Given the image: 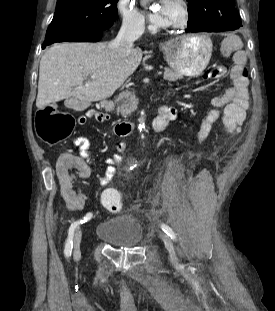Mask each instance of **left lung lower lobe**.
Here are the masks:
<instances>
[{
    "mask_svg": "<svg viewBox=\"0 0 275 311\" xmlns=\"http://www.w3.org/2000/svg\"><path fill=\"white\" fill-rule=\"evenodd\" d=\"M232 30H236V29L223 26L217 22H209L205 24L189 26L186 31L187 32H222V31H232Z\"/></svg>",
    "mask_w": 275,
    "mask_h": 311,
    "instance_id": "0a47b994",
    "label": "left lung lower lobe"
}]
</instances>
